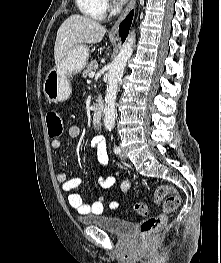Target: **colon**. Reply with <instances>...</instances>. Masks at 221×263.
Instances as JSON below:
<instances>
[{
    "mask_svg": "<svg viewBox=\"0 0 221 263\" xmlns=\"http://www.w3.org/2000/svg\"><path fill=\"white\" fill-rule=\"evenodd\" d=\"M46 121L49 137L57 138L62 135L64 124L58 110H48L46 113ZM153 200L156 204L163 202V212L148 217L141 223V239L147 244H149L163 230L166 225L167 215L175 212L180 205L179 194L172 186L165 184H160L155 188ZM133 208L138 215L146 216L148 214L147 206L143 202L135 203Z\"/></svg>",
    "mask_w": 221,
    "mask_h": 263,
    "instance_id": "1",
    "label": "colon"
}]
</instances>
